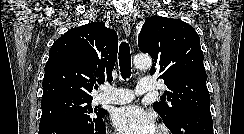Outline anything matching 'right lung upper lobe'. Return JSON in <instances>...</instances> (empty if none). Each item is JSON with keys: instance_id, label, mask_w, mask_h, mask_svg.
I'll list each match as a JSON object with an SVG mask.
<instances>
[{"instance_id": "right-lung-upper-lobe-1", "label": "right lung upper lobe", "mask_w": 244, "mask_h": 134, "mask_svg": "<svg viewBox=\"0 0 244 134\" xmlns=\"http://www.w3.org/2000/svg\"><path fill=\"white\" fill-rule=\"evenodd\" d=\"M117 48V33L103 22L67 31L50 49L42 100L61 96L93 99L94 83H104L105 78L112 81Z\"/></svg>"}]
</instances>
